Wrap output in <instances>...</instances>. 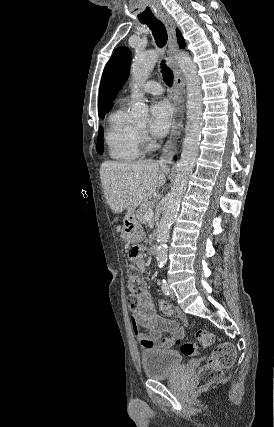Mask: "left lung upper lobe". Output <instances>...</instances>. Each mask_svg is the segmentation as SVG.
Listing matches in <instances>:
<instances>
[{
    "mask_svg": "<svg viewBox=\"0 0 274 427\" xmlns=\"http://www.w3.org/2000/svg\"><path fill=\"white\" fill-rule=\"evenodd\" d=\"M130 61L131 51L122 46L114 51L104 68L99 93L106 112L113 106V99L129 76Z\"/></svg>",
    "mask_w": 274,
    "mask_h": 427,
    "instance_id": "left-lung-upper-lobe-1",
    "label": "left lung upper lobe"
}]
</instances>
